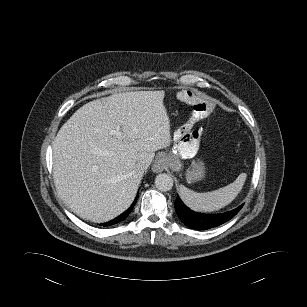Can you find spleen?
Segmentation results:
<instances>
[{
	"mask_svg": "<svg viewBox=\"0 0 307 307\" xmlns=\"http://www.w3.org/2000/svg\"><path fill=\"white\" fill-rule=\"evenodd\" d=\"M246 176L245 173H241L233 183L206 193H197L181 186L180 196L183 202L194 211L212 212L219 210L236 198L244 185Z\"/></svg>",
	"mask_w": 307,
	"mask_h": 307,
	"instance_id": "obj_1",
	"label": "spleen"
}]
</instances>
